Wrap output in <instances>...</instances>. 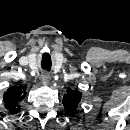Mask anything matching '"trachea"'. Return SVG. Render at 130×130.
<instances>
[{"label":"trachea","mask_w":130,"mask_h":130,"mask_svg":"<svg viewBox=\"0 0 130 130\" xmlns=\"http://www.w3.org/2000/svg\"><path fill=\"white\" fill-rule=\"evenodd\" d=\"M42 68L45 69V70H47V71H50V69H51L50 66H44V65H42Z\"/></svg>","instance_id":"trachea-1"}]
</instances>
